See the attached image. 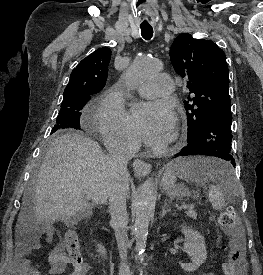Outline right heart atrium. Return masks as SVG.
I'll use <instances>...</instances> for the list:
<instances>
[{"instance_id":"d8ad5b80","label":"right heart atrium","mask_w":263,"mask_h":275,"mask_svg":"<svg viewBox=\"0 0 263 275\" xmlns=\"http://www.w3.org/2000/svg\"><path fill=\"white\" fill-rule=\"evenodd\" d=\"M93 130L108 145L134 148L137 139L132 133L128 116L113 91L101 98L93 111Z\"/></svg>"}]
</instances>
